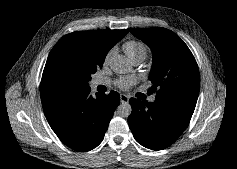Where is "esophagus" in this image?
I'll list each match as a JSON object with an SVG mask.
<instances>
[{
    "label": "esophagus",
    "mask_w": 237,
    "mask_h": 169,
    "mask_svg": "<svg viewBox=\"0 0 237 169\" xmlns=\"http://www.w3.org/2000/svg\"><path fill=\"white\" fill-rule=\"evenodd\" d=\"M120 101L121 103H128L129 97L125 94H120Z\"/></svg>",
    "instance_id": "34e87169"
}]
</instances>
